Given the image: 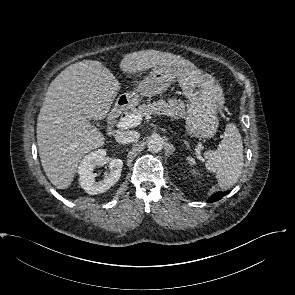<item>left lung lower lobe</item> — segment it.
I'll list each match as a JSON object with an SVG mask.
<instances>
[{"label": "left lung lower lobe", "mask_w": 295, "mask_h": 295, "mask_svg": "<svg viewBox=\"0 0 295 295\" xmlns=\"http://www.w3.org/2000/svg\"><path fill=\"white\" fill-rule=\"evenodd\" d=\"M230 191H225V192H217L213 194L209 199L208 202H215L220 200L223 196L227 195Z\"/></svg>", "instance_id": "0a47b994"}]
</instances>
